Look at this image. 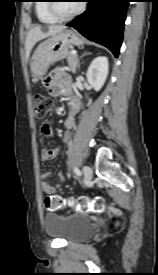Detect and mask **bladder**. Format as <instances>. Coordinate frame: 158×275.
I'll return each instance as SVG.
<instances>
[{
	"mask_svg": "<svg viewBox=\"0 0 158 275\" xmlns=\"http://www.w3.org/2000/svg\"><path fill=\"white\" fill-rule=\"evenodd\" d=\"M44 228L50 237L76 242L90 236L93 223L84 216L49 212L44 215Z\"/></svg>",
	"mask_w": 158,
	"mask_h": 275,
	"instance_id": "bladder-1",
	"label": "bladder"
}]
</instances>
